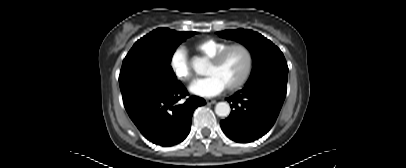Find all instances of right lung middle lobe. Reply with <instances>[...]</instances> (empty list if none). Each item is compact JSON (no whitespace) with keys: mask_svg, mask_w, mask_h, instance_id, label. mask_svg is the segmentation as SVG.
<instances>
[{"mask_svg":"<svg viewBox=\"0 0 406 168\" xmlns=\"http://www.w3.org/2000/svg\"><path fill=\"white\" fill-rule=\"evenodd\" d=\"M195 33L158 28L133 45L119 76L126 110L179 82L169 63L178 45Z\"/></svg>","mask_w":406,"mask_h":168,"instance_id":"dd1d6c3e","label":"right lung middle lobe"}]
</instances>
